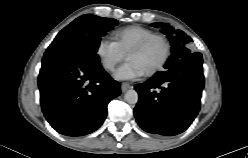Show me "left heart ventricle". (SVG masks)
Returning <instances> with one entry per match:
<instances>
[{
    "label": "left heart ventricle",
    "instance_id": "left-heart-ventricle-1",
    "mask_svg": "<svg viewBox=\"0 0 248 158\" xmlns=\"http://www.w3.org/2000/svg\"><path fill=\"white\" fill-rule=\"evenodd\" d=\"M163 52L162 42L160 40H153L143 50L131 53L128 56V60L135 61L144 72H147L160 62Z\"/></svg>",
    "mask_w": 248,
    "mask_h": 158
}]
</instances>
